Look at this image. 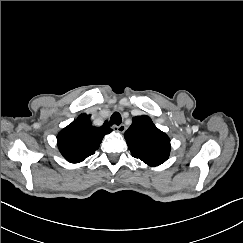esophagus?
Returning a JSON list of instances; mask_svg holds the SVG:
<instances>
[{"instance_id": "obj_1", "label": "esophagus", "mask_w": 243, "mask_h": 243, "mask_svg": "<svg viewBox=\"0 0 243 243\" xmlns=\"http://www.w3.org/2000/svg\"><path fill=\"white\" fill-rule=\"evenodd\" d=\"M112 128L119 133H123L125 131V125H123V124L113 125Z\"/></svg>"}]
</instances>
